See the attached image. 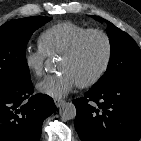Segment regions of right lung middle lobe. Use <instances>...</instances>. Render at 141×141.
<instances>
[{
  "instance_id": "dd1d6c3e",
  "label": "right lung middle lobe",
  "mask_w": 141,
  "mask_h": 141,
  "mask_svg": "<svg viewBox=\"0 0 141 141\" xmlns=\"http://www.w3.org/2000/svg\"><path fill=\"white\" fill-rule=\"evenodd\" d=\"M51 17H27L9 21L0 27V84L30 80L26 46L33 32Z\"/></svg>"
}]
</instances>
